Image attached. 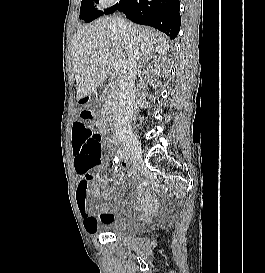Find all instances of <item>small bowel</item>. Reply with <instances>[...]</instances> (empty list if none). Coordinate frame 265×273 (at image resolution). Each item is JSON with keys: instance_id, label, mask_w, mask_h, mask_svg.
I'll return each mask as SVG.
<instances>
[{"instance_id": "c3829d8e", "label": "small bowel", "mask_w": 265, "mask_h": 273, "mask_svg": "<svg viewBox=\"0 0 265 273\" xmlns=\"http://www.w3.org/2000/svg\"><path fill=\"white\" fill-rule=\"evenodd\" d=\"M91 110L92 107L89 101L82 99L79 102L78 120L73 124L72 128V145L74 169L77 175V206L83 218L85 230L90 234H96L104 224L111 221L114 217L108 206L103 202L99 186L106 185L109 181L114 184H119L122 180V175L115 179H109L105 176L92 175L91 171L83 172L79 168L80 152L77 151L76 148L77 129L90 128V125L84 124V122L93 119ZM121 165L123 170H126L128 163L127 161L122 160ZM91 178L96 179V184L92 187L89 186ZM137 205H139V203Z\"/></svg>"}]
</instances>
